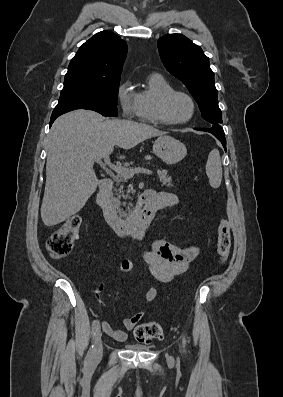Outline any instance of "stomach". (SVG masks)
<instances>
[{
  "instance_id": "stomach-1",
  "label": "stomach",
  "mask_w": 283,
  "mask_h": 397,
  "mask_svg": "<svg viewBox=\"0 0 283 397\" xmlns=\"http://www.w3.org/2000/svg\"><path fill=\"white\" fill-rule=\"evenodd\" d=\"M153 152L163 162L173 165L180 162L187 154L186 146L171 136H160L153 144Z\"/></svg>"
}]
</instances>
